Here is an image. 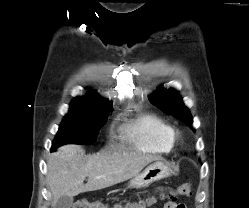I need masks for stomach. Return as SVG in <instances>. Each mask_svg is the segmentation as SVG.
<instances>
[{
	"label": "stomach",
	"instance_id": "obj_1",
	"mask_svg": "<svg viewBox=\"0 0 249 208\" xmlns=\"http://www.w3.org/2000/svg\"><path fill=\"white\" fill-rule=\"evenodd\" d=\"M171 169L163 162L156 161L136 175L128 184V188L141 189L160 179L169 177Z\"/></svg>",
	"mask_w": 249,
	"mask_h": 208
}]
</instances>
